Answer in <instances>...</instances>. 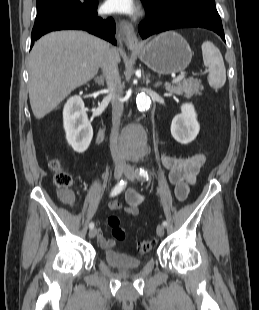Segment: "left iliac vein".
<instances>
[{"label": "left iliac vein", "instance_id": "4c4485c4", "mask_svg": "<svg viewBox=\"0 0 259 310\" xmlns=\"http://www.w3.org/2000/svg\"><path fill=\"white\" fill-rule=\"evenodd\" d=\"M125 175L130 180H134L135 175H136V171L134 170L133 167L127 166L126 170H125ZM156 232H157V235L159 237H162L164 235V226L163 225H158L157 228H156Z\"/></svg>", "mask_w": 259, "mask_h": 310}]
</instances>
